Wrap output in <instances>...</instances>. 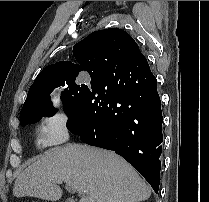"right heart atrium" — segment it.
Wrapping results in <instances>:
<instances>
[{"label": "right heart atrium", "instance_id": "d8ad5b80", "mask_svg": "<svg viewBox=\"0 0 209 202\" xmlns=\"http://www.w3.org/2000/svg\"><path fill=\"white\" fill-rule=\"evenodd\" d=\"M69 136L68 119L63 115L47 114L39 119L35 128L36 141L42 148L62 145Z\"/></svg>", "mask_w": 209, "mask_h": 202}]
</instances>
